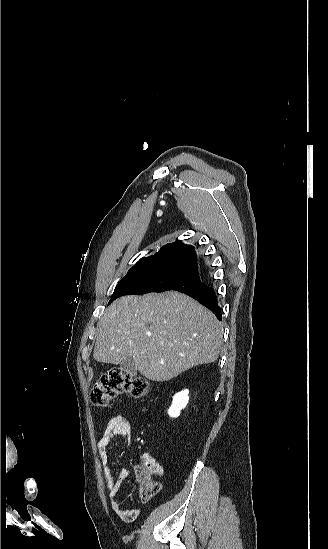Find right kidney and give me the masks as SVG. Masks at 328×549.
<instances>
[{"label":"right kidney","instance_id":"obj_1","mask_svg":"<svg viewBox=\"0 0 328 549\" xmlns=\"http://www.w3.org/2000/svg\"><path fill=\"white\" fill-rule=\"evenodd\" d=\"M188 395V389H185V391H181V393H176V395H174L172 405L171 407H169L168 411V415H170V417H179L182 409H185L189 401Z\"/></svg>","mask_w":328,"mask_h":549}]
</instances>
